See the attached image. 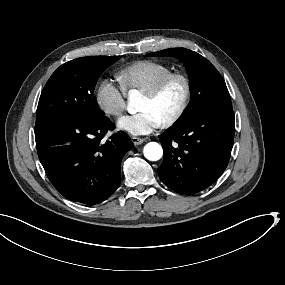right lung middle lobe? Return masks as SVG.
<instances>
[{"instance_id":"dd1d6c3e","label":"right lung middle lobe","mask_w":285,"mask_h":285,"mask_svg":"<svg viewBox=\"0 0 285 285\" xmlns=\"http://www.w3.org/2000/svg\"><path fill=\"white\" fill-rule=\"evenodd\" d=\"M111 64L93 57H82L61 65L41 92L36 123L58 115L84 120L102 119L104 114L92 94L99 76Z\"/></svg>"}]
</instances>
